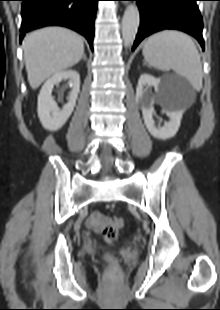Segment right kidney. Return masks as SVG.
<instances>
[{
  "label": "right kidney",
  "mask_w": 220,
  "mask_h": 310,
  "mask_svg": "<svg viewBox=\"0 0 220 310\" xmlns=\"http://www.w3.org/2000/svg\"><path fill=\"white\" fill-rule=\"evenodd\" d=\"M62 80H69L71 92L68 96V103L60 109L51 93L54 85H57ZM80 91V76L76 70H63L54 74L49 78L38 95V117L42 126L50 131H57L68 120L76 105V100Z\"/></svg>",
  "instance_id": "ca27d5eb"
}]
</instances>
